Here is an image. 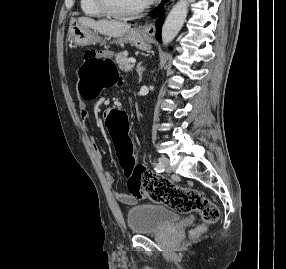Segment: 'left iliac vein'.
I'll use <instances>...</instances> for the list:
<instances>
[{
  "mask_svg": "<svg viewBox=\"0 0 286 269\" xmlns=\"http://www.w3.org/2000/svg\"><path fill=\"white\" fill-rule=\"evenodd\" d=\"M159 163H161V164L164 166L166 172H171V167H170V164H169V159H168L167 157H161V158L159 159Z\"/></svg>",
  "mask_w": 286,
  "mask_h": 269,
  "instance_id": "4c4485c4",
  "label": "left iliac vein"
}]
</instances>
